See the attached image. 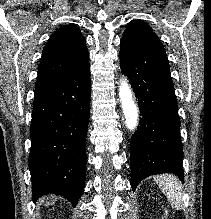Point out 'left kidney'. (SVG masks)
<instances>
[{"label":"left kidney","mask_w":211,"mask_h":219,"mask_svg":"<svg viewBox=\"0 0 211 219\" xmlns=\"http://www.w3.org/2000/svg\"><path fill=\"white\" fill-rule=\"evenodd\" d=\"M165 214L167 215V210L165 211Z\"/></svg>","instance_id":"obj_1"}]
</instances>
